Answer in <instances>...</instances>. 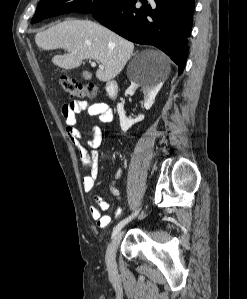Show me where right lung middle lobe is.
<instances>
[{
  "label": "right lung middle lobe",
  "instance_id": "obj_1",
  "mask_svg": "<svg viewBox=\"0 0 247 299\" xmlns=\"http://www.w3.org/2000/svg\"><path fill=\"white\" fill-rule=\"evenodd\" d=\"M121 0H40L31 23L68 13H93Z\"/></svg>",
  "mask_w": 247,
  "mask_h": 299
}]
</instances>
